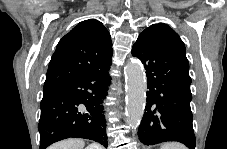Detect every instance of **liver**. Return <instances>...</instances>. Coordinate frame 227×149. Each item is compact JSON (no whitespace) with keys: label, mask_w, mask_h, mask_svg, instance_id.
Masks as SVG:
<instances>
[{"label":"liver","mask_w":227,"mask_h":149,"mask_svg":"<svg viewBox=\"0 0 227 149\" xmlns=\"http://www.w3.org/2000/svg\"><path fill=\"white\" fill-rule=\"evenodd\" d=\"M84 141L82 139H66L60 142H57L49 147V149H83ZM98 149H103L102 146L97 145Z\"/></svg>","instance_id":"1"}]
</instances>
